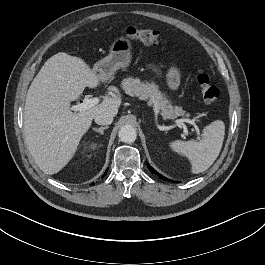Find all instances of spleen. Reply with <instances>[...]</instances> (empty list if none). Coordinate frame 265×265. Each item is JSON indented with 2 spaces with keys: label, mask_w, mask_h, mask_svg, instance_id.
I'll use <instances>...</instances> for the list:
<instances>
[{
  "label": "spleen",
  "mask_w": 265,
  "mask_h": 265,
  "mask_svg": "<svg viewBox=\"0 0 265 265\" xmlns=\"http://www.w3.org/2000/svg\"><path fill=\"white\" fill-rule=\"evenodd\" d=\"M224 135L223 121L216 120L204 128L201 140H176L170 143V147L173 151L185 155L191 162L192 173L198 174L207 170L217 159Z\"/></svg>",
  "instance_id": "spleen-1"
}]
</instances>
